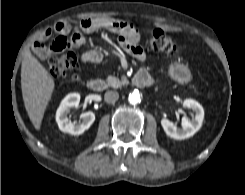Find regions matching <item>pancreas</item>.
Instances as JSON below:
<instances>
[{
  "instance_id": "cf45deb5",
  "label": "pancreas",
  "mask_w": 245,
  "mask_h": 195,
  "mask_svg": "<svg viewBox=\"0 0 245 195\" xmlns=\"http://www.w3.org/2000/svg\"><path fill=\"white\" fill-rule=\"evenodd\" d=\"M106 81H107V86H110L113 88H118V87H121L122 85L126 84L127 79H126V77H122V79L120 80L116 77L109 76Z\"/></svg>"
}]
</instances>
